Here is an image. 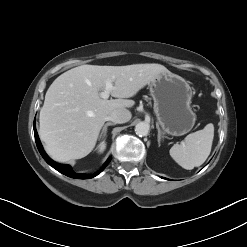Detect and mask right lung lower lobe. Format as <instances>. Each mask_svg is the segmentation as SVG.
I'll return each instance as SVG.
<instances>
[{"label": "right lung lower lobe", "instance_id": "right-lung-lower-lobe-1", "mask_svg": "<svg viewBox=\"0 0 247 247\" xmlns=\"http://www.w3.org/2000/svg\"><path fill=\"white\" fill-rule=\"evenodd\" d=\"M34 135H35V141H36V145H37V148L41 154V156L44 158V160L50 165L52 166L54 169H56L57 171H59L60 173L68 176V177H71V178H76V179H89V178H93L95 177L96 175H98L105 167L106 165L109 163L110 159H108L105 163V165L103 166V168L93 174V175H85V174H79V173H75L72 168L69 166V165H66V164H58L56 162H54L53 160H51L48 155L45 153L42 145H41V142L38 138V134H37V131H36V128H35V123H34Z\"/></svg>", "mask_w": 247, "mask_h": 247}]
</instances>
